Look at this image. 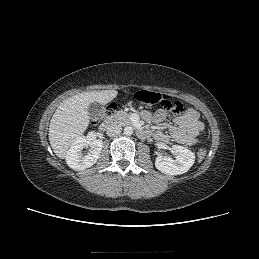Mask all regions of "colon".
Wrapping results in <instances>:
<instances>
[{
  "label": "colon",
  "instance_id": "5ec220e1",
  "mask_svg": "<svg viewBox=\"0 0 259 259\" xmlns=\"http://www.w3.org/2000/svg\"><path fill=\"white\" fill-rule=\"evenodd\" d=\"M135 99L143 104L147 105H160L163 109L172 111L174 113H183L184 112V106L181 102L178 101H172L171 97L165 94L157 93L154 91H148V90H140L135 93L134 95ZM116 106L115 104H109L105 106L104 108V115L109 116L111 115ZM207 155V151L204 148H201L197 151V156L200 160L204 159Z\"/></svg>",
  "mask_w": 259,
  "mask_h": 259
}]
</instances>
